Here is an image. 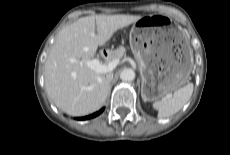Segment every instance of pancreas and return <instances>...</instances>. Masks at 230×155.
<instances>
[{"mask_svg": "<svg viewBox=\"0 0 230 155\" xmlns=\"http://www.w3.org/2000/svg\"><path fill=\"white\" fill-rule=\"evenodd\" d=\"M125 53V48L124 47H119L116 50H113L110 52V55L107 59V62H110L114 59H119L121 58Z\"/></svg>", "mask_w": 230, "mask_h": 155, "instance_id": "cf45deb5", "label": "pancreas"}]
</instances>
